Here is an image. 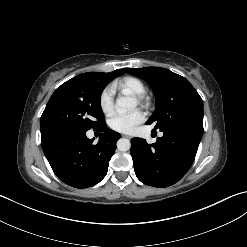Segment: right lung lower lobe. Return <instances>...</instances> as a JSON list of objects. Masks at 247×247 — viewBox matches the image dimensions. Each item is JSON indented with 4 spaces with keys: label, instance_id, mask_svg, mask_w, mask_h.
Listing matches in <instances>:
<instances>
[{
    "label": "right lung lower lobe",
    "instance_id": "obj_1",
    "mask_svg": "<svg viewBox=\"0 0 247 247\" xmlns=\"http://www.w3.org/2000/svg\"><path fill=\"white\" fill-rule=\"evenodd\" d=\"M97 144L86 137V132H55L41 136L45 156L57 177L69 186L87 188L99 183L107 174L108 162L115 153L120 134L106 129Z\"/></svg>",
    "mask_w": 247,
    "mask_h": 247
}]
</instances>
